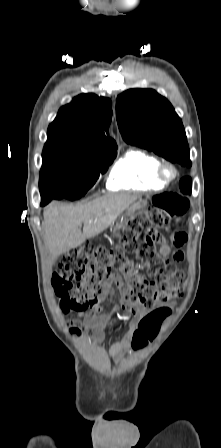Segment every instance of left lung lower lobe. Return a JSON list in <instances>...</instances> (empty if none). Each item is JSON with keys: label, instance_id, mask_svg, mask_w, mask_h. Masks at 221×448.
<instances>
[{"label": "left lung lower lobe", "instance_id": "obj_1", "mask_svg": "<svg viewBox=\"0 0 221 448\" xmlns=\"http://www.w3.org/2000/svg\"><path fill=\"white\" fill-rule=\"evenodd\" d=\"M180 189L183 193L185 194H190L191 193V188H192V182H191V178L189 177H184L181 179L180 181Z\"/></svg>", "mask_w": 221, "mask_h": 448}]
</instances>
